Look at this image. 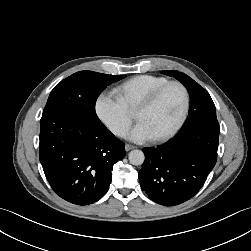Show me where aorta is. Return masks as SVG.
Returning <instances> with one entry per match:
<instances>
[{"label":"aorta","instance_id":"762f6f07","mask_svg":"<svg viewBox=\"0 0 251 251\" xmlns=\"http://www.w3.org/2000/svg\"><path fill=\"white\" fill-rule=\"evenodd\" d=\"M129 162L132 165H142L145 160V155L141 150H132L128 155Z\"/></svg>","mask_w":251,"mask_h":251}]
</instances>
